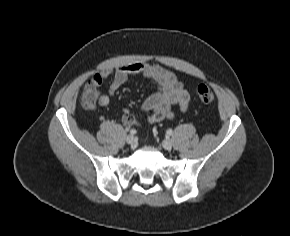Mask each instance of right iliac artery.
<instances>
[{
	"label": "right iliac artery",
	"mask_w": 290,
	"mask_h": 236,
	"mask_svg": "<svg viewBox=\"0 0 290 236\" xmlns=\"http://www.w3.org/2000/svg\"><path fill=\"white\" fill-rule=\"evenodd\" d=\"M130 134H131V135L136 134V130H135V129H132V130L130 131Z\"/></svg>",
	"instance_id": "obj_1"
}]
</instances>
